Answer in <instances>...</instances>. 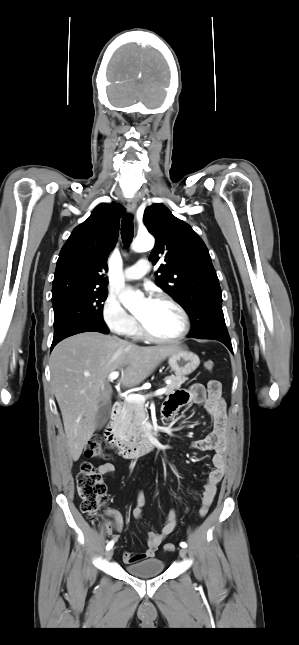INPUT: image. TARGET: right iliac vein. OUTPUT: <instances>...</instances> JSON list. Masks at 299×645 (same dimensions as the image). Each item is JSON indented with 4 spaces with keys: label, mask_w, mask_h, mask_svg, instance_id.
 Instances as JSON below:
<instances>
[{
    "label": "right iliac vein",
    "mask_w": 299,
    "mask_h": 645,
    "mask_svg": "<svg viewBox=\"0 0 299 645\" xmlns=\"http://www.w3.org/2000/svg\"><path fill=\"white\" fill-rule=\"evenodd\" d=\"M113 553H114L113 549H109V550L105 553L106 558H107V559H110V558L113 556Z\"/></svg>",
    "instance_id": "1"
}]
</instances>
